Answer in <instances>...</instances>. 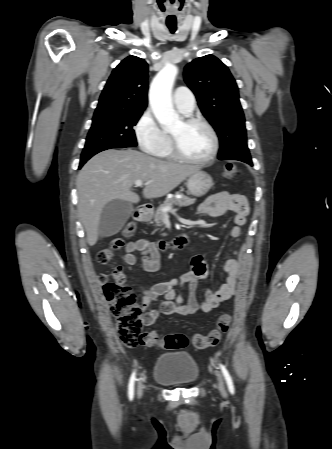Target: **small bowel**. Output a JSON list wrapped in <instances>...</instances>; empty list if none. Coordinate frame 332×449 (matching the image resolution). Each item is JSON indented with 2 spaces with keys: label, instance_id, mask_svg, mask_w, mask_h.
Wrapping results in <instances>:
<instances>
[{
  "label": "small bowel",
  "instance_id": "1",
  "mask_svg": "<svg viewBox=\"0 0 332 449\" xmlns=\"http://www.w3.org/2000/svg\"><path fill=\"white\" fill-rule=\"evenodd\" d=\"M249 204L246 197L240 193L220 192L205 200L198 208L200 214L218 217L228 211L235 214L234 226L230 230L231 237L240 241L243 234L242 226L245 224L249 214ZM142 255V268L147 272L157 271L161 266V254L154 243L139 239L127 243L125 247L124 262L132 266L136 263L135 252ZM241 261L238 257L227 261L225 270L227 281L218 291L206 290L203 300L197 295L199 281L205 279L209 274V266L201 255H196L191 260L190 270L178 279L159 282L149 289L142 290V320L145 325H152L161 315L188 316L196 312H210L217 308L222 302L233 297ZM115 278L124 280L125 275L121 267L116 268ZM183 284L189 286V301L183 303V297L177 294L175 287ZM159 307L149 310L153 302L160 301Z\"/></svg>",
  "mask_w": 332,
  "mask_h": 449
}]
</instances>
